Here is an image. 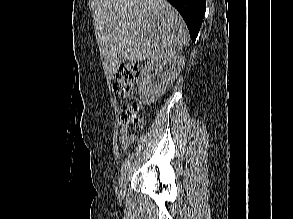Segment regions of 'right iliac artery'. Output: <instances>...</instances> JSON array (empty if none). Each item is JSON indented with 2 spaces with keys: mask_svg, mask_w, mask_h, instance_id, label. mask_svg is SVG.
<instances>
[{
  "mask_svg": "<svg viewBox=\"0 0 293 219\" xmlns=\"http://www.w3.org/2000/svg\"><path fill=\"white\" fill-rule=\"evenodd\" d=\"M132 156H129L122 164V167H121V174L128 168V166L130 165V160H131Z\"/></svg>",
  "mask_w": 293,
  "mask_h": 219,
  "instance_id": "right-iliac-artery-1",
  "label": "right iliac artery"
}]
</instances>
